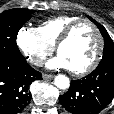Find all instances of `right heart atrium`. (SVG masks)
Here are the masks:
<instances>
[{
	"instance_id": "1",
	"label": "right heart atrium",
	"mask_w": 114,
	"mask_h": 114,
	"mask_svg": "<svg viewBox=\"0 0 114 114\" xmlns=\"http://www.w3.org/2000/svg\"><path fill=\"white\" fill-rule=\"evenodd\" d=\"M16 44L27 61L35 66L53 52V46L47 43L36 28L22 27L16 35Z\"/></svg>"
}]
</instances>
